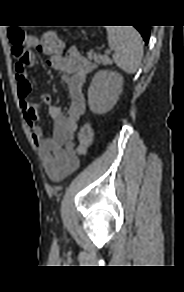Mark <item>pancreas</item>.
I'll return each mask as SVG.
<instances>
[{"label":"pancreas","instance_id":"obj_1","mask_svg":"<svg viewBox=\"0 0 184 292\" xmlns=\"http://www.w3.org/2000/svg\"><path fill=\"white\" fill-rule=\"evenodd\" d=\"M87 56H88V59L94 60V62L97 64H103V65L111 64V60L107 55H100V54H96L90 51L87 53Z\"/></svg>","mask_w":184,"mask_h":292}]
</instances>
